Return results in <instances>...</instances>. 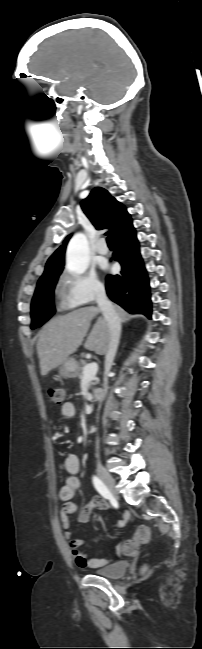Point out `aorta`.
<instances>
[{
	"label": "aorta",
	"mask_w": 202,
	"mask_h": 649,
	"mask_svg": "<svg viewBox=\"0 0 202 649\" xmlns=\"http://www.w3.org/2000/svg\"><path fill=\"white\" fill-rule=\"evenodd\" d=\"M67 268L75 273H84L89 266V246L84 234H76L69 242L66 254Z\"/></svg>",
	"instance_id": "obj_1"
}]
</instances>
